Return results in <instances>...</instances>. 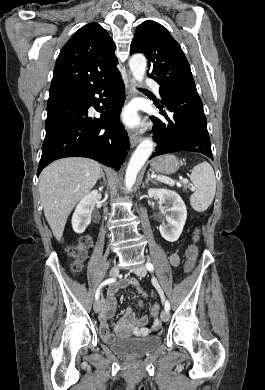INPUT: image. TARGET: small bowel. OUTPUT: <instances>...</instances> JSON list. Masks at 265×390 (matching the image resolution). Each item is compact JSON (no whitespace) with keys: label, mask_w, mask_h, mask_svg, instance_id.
Instances as JSON below:
<instances>
[{"label":"small bowel","mask_w":265,"mask_h":390,"mask_svg":"<svg viewBox=\"0 0 265 390\" xmlns=\"http://www.w3.org/2000/svg\"><path fill=\"white\" fill-rule=\"evenodd\" d=\"M170 261L172 265L178 266L180 263V258L177 254L173 253L170 255ZM133 286L136 288L139 294L142 297H146V293L141 287L140 283L134 279H124L118 283L111 285L107 292L106 297L103 301L102 312L100 315V332L105 341L111 340L114 335L110 332L108 327V320L113 316L115 306H116V298L115 295L117 291L121 288ZM137 305L139 307L143 306L142 301H138ZM149 324V316L141 315L136 312L132 307H128L118 321V325L120 327H127L133 330L134 333L138 335H146L149 332V328L147 327ZM159 325L154 321L152 327L157 328Z\"/></svg>","instance_id":"c3829d8e"}]
</instances>
